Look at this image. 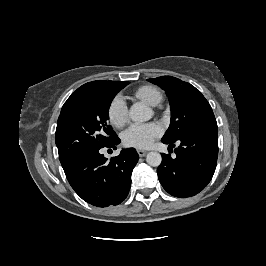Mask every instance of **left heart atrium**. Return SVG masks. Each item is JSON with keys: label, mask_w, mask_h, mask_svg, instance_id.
I'll return each mask as SVG.
<instances>
[{"label": "left heart atrium", "mask_w": 266, "mask_h": 266, "mask_svg": "<svg viewBox=\"0 0 266 266\" xmlns=\"http://www.w3.org/2000/svg\"><path fill=\"white\" fill-rule=\"evenodd\" d=\"M162 134V129L155 122L131 125L122 136L125 146L137 149H145L152 145L153 141Z\"/></svg>", "instance_id": "obj_1"}]
</instances>
